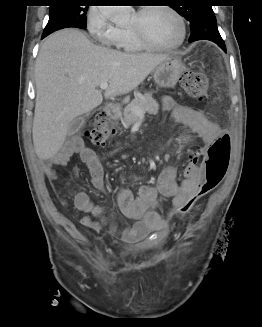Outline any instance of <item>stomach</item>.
Instances as JSON below:
<instances>
[{"label": "stomach", "instance_id": "1", "mask_svg": "<svg viewBox=\"0 0 262 327\" xmlns=\"http://www.w3.org/2000/svg\"><path fill=\"white\" fill-rule=\"evenodd\" d=\"M185 70L180 58L170 57L154 70V81L162 88H173Z\"/></svg>", "mask_w": 262, "mask_h": 327}]
</instances>
